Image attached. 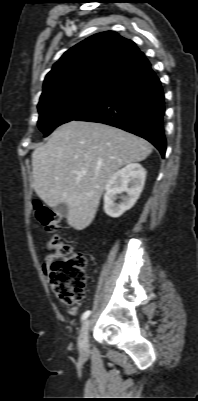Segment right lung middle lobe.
<instances>
[{
    "label": "right lung middle lobe",
    "mask_w": 198,
    "mask_h": 401,
    "mask_svg": "<svg viewBox=\"0 0 198 401\" xmlns=\"http://www.w3.org/2000/svg\"><path fill=\"white\" fill-rule=\"evenodd\" d=\"M107 88L104 85H85L40 99L39 129L47 136L59 125L74 120L92 108Z\"/></svg>",
    "instance_id": "right-lung-middle-lobe-1"
}]
</instances>
